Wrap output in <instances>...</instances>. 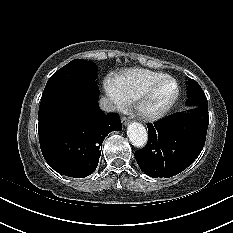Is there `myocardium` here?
<instances>
[{
  "label": "myocardium",
  "instance_id": "myocardium-1",
  "mask_svg": "<svg viewBox=\"0 0 233 233\" xmlns=\"http://www.w3.org/2000/svg\"><path fill=\"white\" fill-rule=\"evenodd\" d=\"M165 82H171L174 87L175 91L173 96L158 110L155 111H147L146 104L149 99L152 97L153 93L156 89ZM180 95V88L178 82L170 77L165 76L154 83H152L136 100L134 104L135 112L142 120L146 122H155L162 119L176 104L179 99Z\"/></svg>",
  "mask_w": 233,
  "mask_h": 233
}]
</instances>
